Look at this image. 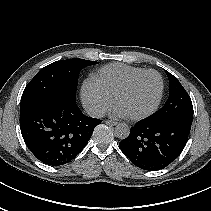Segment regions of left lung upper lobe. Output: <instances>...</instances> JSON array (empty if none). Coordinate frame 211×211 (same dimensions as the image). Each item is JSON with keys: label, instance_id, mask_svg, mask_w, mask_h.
<instances>
[{"label": "left lung upper lobe", "instance_id": "obj_1", "mask_svg": "<svg viewBox=\"0 0 211 211\" xmlns=\"http://www.w3.org/2000/svg\"><path fill=\"white\" fill-rule=\"evenodd\" d=\"M170 83V92L164 107L149 118L151 121L176 120L192 125V101L178 79L166 71Z\"/></svg>", "mask_w": 211, "mask_h": 211}]
</instances>
